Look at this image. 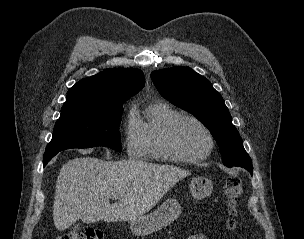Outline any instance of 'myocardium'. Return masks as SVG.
Segmentation results:
<instances>
[{"label": "myocardium", "instance_id": "1", "mask_svg": "<svg viewBox=\"0 0 304 239\" xmlns=\"http://www.w3.org/2000/svg\"><path fill=\"white\" fill-rule=\"evenodd\" d=\"M187 120L192 121L196 123L198 126H200L208 138V147L201 154H197V155L186 154L178 147L176 143V139H175L176 130L183 121H187ZM164 146L168 151V153L171 154L176 161L193 163V162L202 161L211 155L215 146V140L210 128L198 117L189 114H180L177 117H175L173 120H171V122L166 127L164 134Z\"/></svg>", "mask_w": 304, "mask_h": 239}]
</instances>
